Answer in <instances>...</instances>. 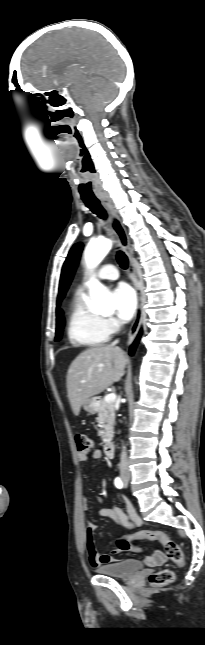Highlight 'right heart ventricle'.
<instances>
[{
    "label": "right heart ventricle",
    "mask_w": 205,
    "mask_h": 645,
    "mask_svg": "<svg viewBox=\"0 0 205 645\" xmlns=\"http://www.w3.org/2000/svg\"><path fill=\"white\" fill-rule=\"evenodd\" d=\"M67 334L74 345L97 346L106 342L110 335L106 319L92 311L84 291L76 292L69 314Z\"/></svg>",
    "instance_id": "e07e8e85"
}]
</instances>
